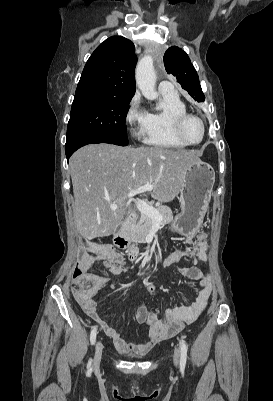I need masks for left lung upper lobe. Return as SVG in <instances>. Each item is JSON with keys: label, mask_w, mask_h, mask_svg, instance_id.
<instances>
[{"label": "left lung upper lobe", "mask_w": 273, "mask_h": 401, "mask_svg": "<svg viewBox=\"0 0 273 401\" xmlns=\"http://www.w3.org/2000/svg\"><path fill=\"white\" fill-rule=\"evenodd\" d=\"M164 65L167 73L176 77L183 89L197 102H204L198 74L188 55L178 47H170L164 55Z\"/></svg>", "instance_id": "obj_1"}]
</instances>
